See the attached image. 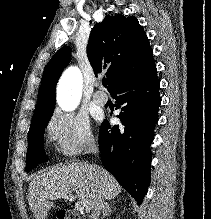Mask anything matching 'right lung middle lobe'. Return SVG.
I'll return each mask as SVG.
<instances>
[{
  "label": "right lung middle lobe",
  "mask_w": 211,
  "mask_h": 219,
  "mask_svg": "<svg viewBox=\"0 0 211 219\" xmlns=\"http://www.w3.org/2000/svg\"><path fill=\"white\" fill-rule=\"evenodd\" d=\"M52 114L53 112H50L32 118L31 127L28 132V150L26 156L27 172L39 163L48 160L43 148V137L45 128Z\"/></svg>",
  "instance_id": "right-lung-middle-lobe-1"
}]
</instances>
